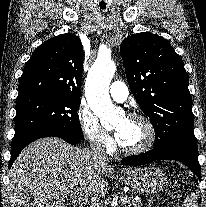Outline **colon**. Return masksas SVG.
Returning <instances> with one entry per match:
<instances>
[{
    "mask_svg": "<svg viewBox=\"0 0 206 207\" xmlns=\"http://www.w3.org/2000/svg\"><path fill=\"white\" fill-rule=\"evenodd\" d=\"M173 198H174L175 200H178V199H179V193H178V192H175V193L173 194Z\"/></svg>",
    "mask_w": 206,
    "mask_h": 207,
    "instance_id": "1",
    "label": "colon"
}]
</instances>
